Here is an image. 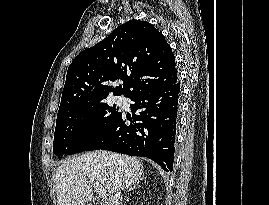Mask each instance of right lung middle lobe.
<instances>
[{
    "label": "right lung middle lobe",
    "instance_id": "obj_1",
    "mask_svg": "<svg viewBox=\"0 0 269 205\" xmlns=\"http://www.w3.org/2000/svg\"><path fill=\"white\" fill-rule=\"evenodd\" d=\"M122 113L115 106L101 102L79 112L57 118L53 152L63 154L83 152L96 141Z\"/></svg>",
    "mask_w": 269,
    "mask_h": 205
}]
</instances>
